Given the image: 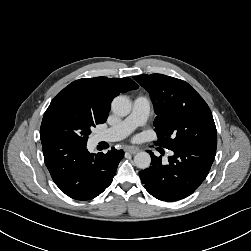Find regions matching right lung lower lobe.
<instances>
[{
	"label": "right lung lower lobe",
	"mask_w": 251,
	"mask_h": 251,
	"mask_svg": "<svg viewBox=\"0 0 251 251\" xmlns=\"http://www.w3.org/2000/svg\"><path fill=\"white\" fill-rule=\"evenodd\" d=\"M45 164L60 190L76 200H90L112 182L122 150L89 153L86 145L64 139L42 140Z\"/></svg>",
	"instance_id": "1"
}]
</instances>
